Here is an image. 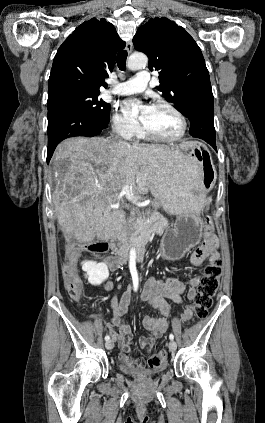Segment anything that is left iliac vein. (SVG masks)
Here are the masks:
<instances>
[{"mask_svg":"<svg viewBox=\"0 0 265 423\" xmlns=\"http://www.w3.org/2000/svg\"><path fill=\"white\" fill-rule=\"evenodd\" d=\"M168 348H169V350H170L171 352H174V351L176 350V348H177V344H176V342H175V341H170V342L168 343Z\"/></svg>","mask_w":265,"mask_h":423,"instance_id":"4c4485c4","label":"left iliac vein"}]
</instances>
